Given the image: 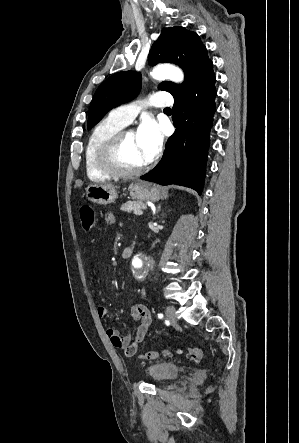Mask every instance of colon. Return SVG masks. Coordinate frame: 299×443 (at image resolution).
Wrapping results in <instances>:
<instances>
[{
	"label": "colon",
	"instance_id": "colon-1",
	"mask_svg": "<svg viewBox=\"0 0 299 443\" xmlns=\"http://www.w3.org/2000/svg\"><path fill=\"white\" fill-rule=\"evenodd\" d=\"M79 219L81 223L82 230L85 232H90L95 227V213L94 210L87 205H83L79 209ZM177 354H184L187 358L195 361H200L203 359V353L199 348L187 347V348H177L175 350ZM160 355L169 356L171 355L170 350L159 351H149L141 355V359H155Z\"/></svg>",
	"mask_w": 299,
	"mask_h": 443
}]
</instances>
